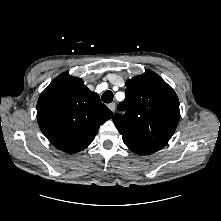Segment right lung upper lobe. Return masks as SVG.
<instances>
[{"instance_id": "cb5924a9", "label": "right lung upper lobe", "mask_w": 221, "mask_h": 221, "mask_svg": "<svg viewBox=\"0 0 221 221\" xmlns=\"http://www.w3.org/2000/svg\"><path fill=\"white\" fill-rule=\"evenodd\" d=\"M113 113L90 91L82 79L60 74L42 92L37 103V121L56 148L76 153L84 150L101 124Z\"/></svg>"}]
</instances>
